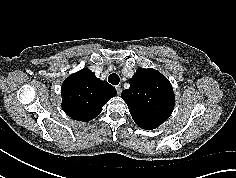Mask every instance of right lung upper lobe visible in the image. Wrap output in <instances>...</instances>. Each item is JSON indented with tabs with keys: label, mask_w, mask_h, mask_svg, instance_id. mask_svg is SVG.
Masks as SVG:
<instances>
[{
	"label": "right lung upper lobe",
	"mask_w": 236,
	"mask_h": 178,
	"mask_svg": "<svg viewBox=\"0 0 236 178\" xmlns=\"http://www.w3.org/2000/svg\"><path fill=\"white\" fill-rule=\"evenodd\" d=\"M116 94L109 83L99 80L89 69H82L62 84V108L72 119L87 122L96 118Z\"/></svg>",
	"instance_id": "obj_1"
}]
</instances>
